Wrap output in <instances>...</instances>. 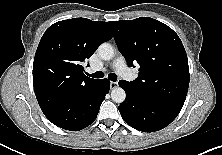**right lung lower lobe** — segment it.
<instances>
[{
    "mask_svg": "<svg viewBox=\"0 0 222 155\" xmlns=\"http://www.w3.org/2000/svg\"><path fill=\"white\" fill-rule=\"evenodd\" d=\"M109 86L107 79H101L71 94L57 96L48 89L36 92V98L43 113L54 125L79 131L94 122Z\"/></svg>",
    "mask_w": 222,
    "mask_h": 155,
    "instance_id": "98d812e1",
    "label": "right lung lower lobe"
}]
</instances>
